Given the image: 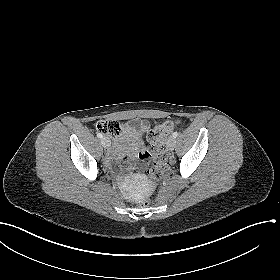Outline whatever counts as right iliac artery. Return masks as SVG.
<instances>
[{
    "label": "right iliac artery",
    "mask_w": 280,
    "mask_h": 280,
    "mask_svg": "<svg viewBox=\"0 0 280 280\" xmlns=\"http://www.w3.org/2000/svg\"><path fill=\"white\" fill-rule=\"evenodd\" d=\"M98 138H103V135L101 133H97Z\"/></svg>",
    "instance_id": "82829eb1"
}]
</instances>
